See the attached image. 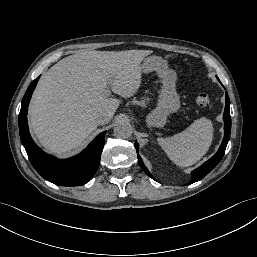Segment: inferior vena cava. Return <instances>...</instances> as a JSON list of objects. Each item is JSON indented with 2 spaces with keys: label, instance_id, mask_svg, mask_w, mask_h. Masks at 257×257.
<instances>
[{
  "label": "inferior vena cava",
  "instance_id": "inferior-vena-cava-1",
  "mask_svg": "<svg viewBox=\"0 0 257 257\" xmlns=\"http://www.w3.org/2000/svg\"><path fill=\"white\" fill-rule=\"evenodd\" d=\"M110 120H111V115H110V114H101V115H98V116L96 117V123H97L98 125L106 124V123H108Z\"/></svg>",
  "mask_w": 257,
  "mask_h": 257
}]
</instances>
